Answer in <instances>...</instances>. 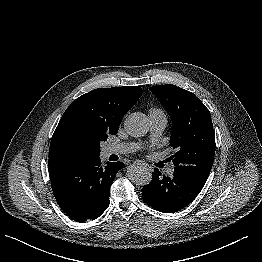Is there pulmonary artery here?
I'll list each match as a JSON object with an SVG mask.
<instances>
[{"instance_id":"e3ab8cb5","label":"pulmonary artery","mask_w":262,"mask_h":262,"mask_svg":"<svg viewBox=\"0 0 262 262\" xmlns=\"http://www.w3.org/2000/svg\"><path fill=\"white\" fill-rule=\"evenodd\" d=\"M150 130L153 138H158L164 131L167 125V118L163 113L160 114H149ZM139 148L136 144H117L109 145L106 148L107 154H123L134 152ZM168 175L173 174V167H169L166 170Z\"/></svg>"}]
</instances>
